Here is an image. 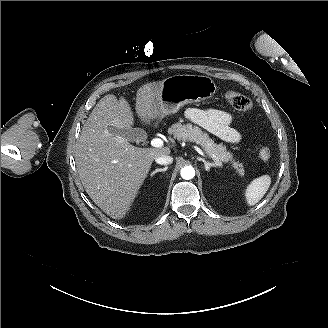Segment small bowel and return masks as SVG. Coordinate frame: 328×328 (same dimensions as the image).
Listing matches in <instances>:
<instances>
[{"mask_svg": "<svg viewBox=\"0 0 328 328\" xmlns=\"http://www.w3.org/2000/svg\"><path fill=\"white\" fill-rule=\"evenodd\" d=\"M186 118L192 123L229 143L241 140L240 132L232 126L233 115L229 112L214 108H188Z\"/></svg>", "mask_w": 328, "mask_h": 328, "instance_id": "small-bowel-1", "label": "small bowel"}]
</instances>
